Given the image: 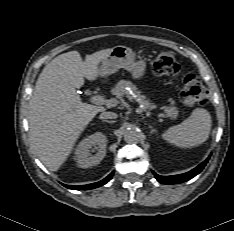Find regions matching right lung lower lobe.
<instances>
[{"mask_svg": "<svg viewBox=\"0 0 234 231\" xmlns=\"http://www.w3.org/2000/svg\"><path fill=\"white\" fill-rule=\"evenodd\" d=\"M113 173L114 172L109 174L105 179H103L99 182H96V183H92V184H88V185H81V186H73V185H64V186L66 188L74 189V190H88V189L97 188V187H100V186L106 184L112 178Z\"/></svg>", "mask_w": 234, "mask_h": 231, "instance_id": "right-lung-lower-lobe-1", "label": "right lung lower lobe"}]
</instances>
